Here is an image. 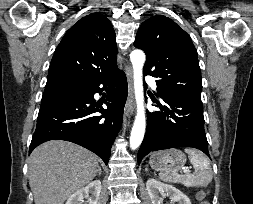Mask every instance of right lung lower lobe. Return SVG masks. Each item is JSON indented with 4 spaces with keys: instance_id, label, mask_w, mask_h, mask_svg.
I'll list each match as a JSON object with an SVG mask.
<instances>
[{
    "instance_id": "right-lung-lower-lobe-1",
    "label": "right lung lower lobe",
    "mask_w": 253,
    "mask_h": 204,
    "mask_svg": "<svg viewBox=\"0 0 253 204\" xmlns=\"http://www.w3.org/2000/svg\"><path fill=\"white\" fill-rule=\"evenodd\" d=\"M104 89L108 91L106 109L93 99L95 93ZM127 94L126 75L118 69L85 85L79 92L42 98L29 154L43 142L66 140L94 152L107 165L122 122ZM96 112L102 115H94Z\"/></svg>"
}]
</instances>
